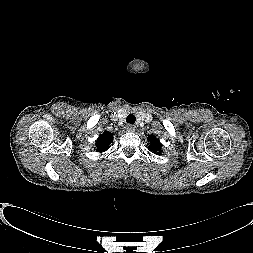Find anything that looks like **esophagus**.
Listing matches in <instances>:
<instances>
[{
  "mask_svg": "<svg viewBox=\"0 0 253 253\" xmlns=\"http://www.w3.org/2000/svg\"><path fill=\"white\" fill-rule=\"evenodd\" d=\"M126 129H127L128 132H134L135 131V126L132 125V124H128L126 126Z\"/></svg>",
  "mask_w": 253,
  "mask_h": 253,
  "instance_id": "1",
  "label": "esophagus"
}]
</instances>
